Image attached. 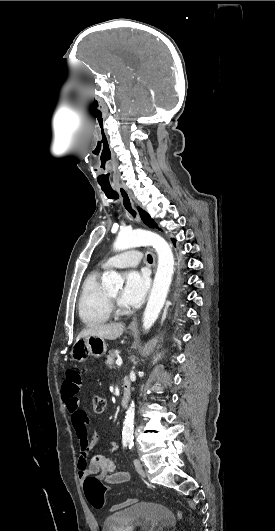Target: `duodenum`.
<instances>
[{"label": "duodenum", "instance_id": "410a0bca", "mask_svg": "<svg viewBox=\"0 0 275 531\" xmlns=\"http://www.w3.org/2000/svg\"><path fill=\"white\" fill-rule=\"evenodd\" d=\"M124 393L120 400V407L124 408L128 406L132 396V382L129 377L123 379Z\"/></svg>", "mask_w": 275, "mask_h": 531}]
</instances>
